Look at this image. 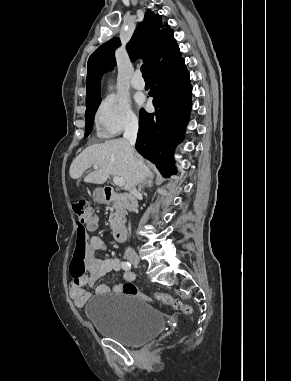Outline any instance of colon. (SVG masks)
<instances>
[{
  "mask_svg": "<svg viewBox=\"0 0 291 381\" xmlns=\"http://www.w3.org/2000/svg\"><path fill=\"white\" fill-rule=\"evenodd\" d=\"M73 212L77 219L78 230L76 247L73 257V264L78 271L84 270V259L86 254L87 231H94L97 228V219L93 216L89 203L85 199H78L72 205ZM81 276V275H80ZM122 292L128 295L139 297L145 301H160L165 305L172 306L175 310L184 314L191 313V307L178 298L168 294H155L153 296L141 292L134 284L126 283L122 287Z\"/></svg>",
  "mask_w": 291,
  "mask_h": 381,
  "instance_id": "colon-1",
  "label": "colon"
}]
</instances>
